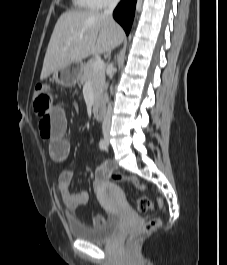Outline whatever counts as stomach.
Masks as SVG:
<instances>
[{
  "mask_svg": "<svg viewBox=\"0 0 227 265\" xmlns=\"http://www.w3.org/2000/svg\"><path fill=\"white\" fill-rule=\"evenodd\" d=\"M82 69V62H75L55 70L52 73V79L59 85L70 87L79 82Z\"/></svg>",
  "mask_w": 227,
  "mask_h": 265,
  "instance_id": "obj_1",
  "label": "stomach"
}]
</instances>
